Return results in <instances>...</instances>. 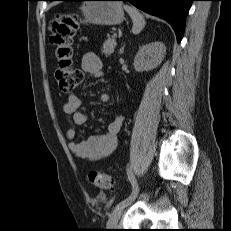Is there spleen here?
<instances>
[{"instance_id":"obj_1","label":"spleen","mask_w":231,"mask_h":231,"mask_svg":"<svg viewBox=\"0 0 231 231\" xmlns=\"http://www.w3.org/2000/svg\"><path fill=\"white\" fill-rule=\"evenodd\" d=\"M124 9L127 11V13L130 15L133 27H132V33L138 34L142 31V29L145 27V19L143 15L134 7L124 5Z\"/></svg>"}]
</instances>
